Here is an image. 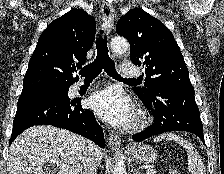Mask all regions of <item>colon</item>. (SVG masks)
I'll use <instances>...</instances> for the list:
<instances>
[{
    "label": "colon",
    "instance_id": "obj_1",
    "mask_svg": "<svg viewBox=\"0 0 224 174\" xmlns=\"http://www.w3.org/2000/svg\"><path fill=\"white\" fill-rule=\"evenodd\" d=\"M171 174H181L180 172H178L177 170H172Z\"/></svg>",
    "mask_w": 224,
    "mask_h": 174
}]
</instances>
